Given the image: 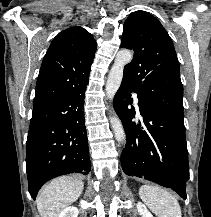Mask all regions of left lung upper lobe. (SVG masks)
Returning <instances> with one entry per match:
<instances>
[{
  "label": "left lung upper lobe",
  "instance_id": "left-lung-upper-lobe-1",
  "mask_svg": "<svg viewBox=\"0 0 211 217\" xmlns=\"http://www.w3.org/2000/svg\"><path fill=\"white\" fill-rule=\"evenodd\" d=\"M121 47L134 51L123 80L156 111L184 122L179 62L161 23L145 11H135L124 23Z\"/></svg>",
  "mask_w": 211,
  "mask_h": 217
}]
</instances>
